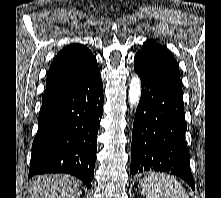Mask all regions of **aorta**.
I'll use <instances>...</instances> for the list:
<instances>
[{
    "instance_id": "1",
    "label": "aorta",
    "mask_w": 221,
    "mask_h": 198,
    "mask_svg": "<svg viewBox=\"0 0 221 198\" xmlns=\"http://www.w3.org/2000/svg\"><path fill=\"white\" fill-rule=\"evenodd\" d=\"M141 96V81L138 76H133L129 84L128 99L130 107H136Z\"/></svg>"
}]
</instances>
